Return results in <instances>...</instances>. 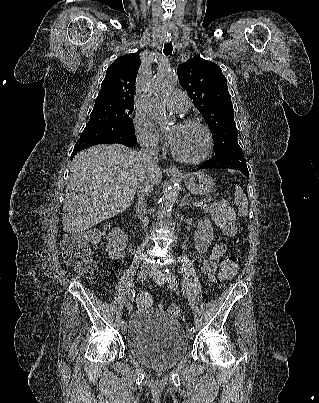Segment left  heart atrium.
<instances>
[{
    "label": "left heart atrium",
    "mask_w": 319,
    "mask_h": 403,
    "mask_svg": "<svg viewBox=\"0 0 319 403\" xmlns=\"http://www.w3.org/2000/svg\"><path fill=\"white\" fill-rule=\"evenodd\" d=\"M176 134H177V132H176V131H173V132H169V134H168V136H167L169 142H170L172 145H173V143L175 142Z\"/></svg>",
    "instance_id": "39dd6f15"
}]
</instances>
